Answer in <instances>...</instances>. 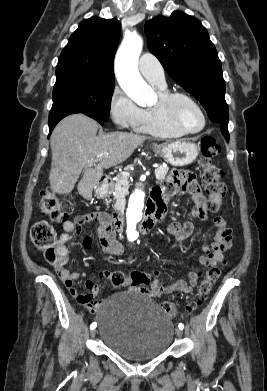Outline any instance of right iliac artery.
I'll return each mask as SVG.
<instances>
[{
	"mask_svg": "<svg viewBox=\"0 0 267 391\" xmlns=\"http://www.w3.org/2000/svg\"><path fill=\"white\" fill-rule=\"evenodd\" d=\"M96 326H97V324H96L95 322H93V323L91 324L90 328H91V329H95Z\"/></svg>",
	"mask_w": 267,
	"mask_h": 391,
	"instance_id": "obj_1",
	"label": "right iliac artery"
}]
</instances>
